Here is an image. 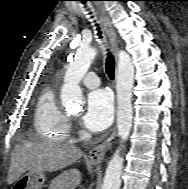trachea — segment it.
Listing matches in <instances>:
<instances>
[{
    "instance_id": "1",
    "label": "trachea",
    "mask_w": 188,
    "mask_h": 189,
    "mask_svg": "<svg viewBox=\"0 0 188 189\" xmlns=\"http://www.w3.org/2000/svg\"><path fill=\"white\" fill-rule=\"evenodd\" d=\"M82 3H86L87 0H80ZM97 30H98V36L99 38H102L100 28L98 27V24H96ZM106 73L109 76L110 79L114 78V72H115V61L113 56L110 52L107 54L106 63H105Z\"/></svg>"
}]
</instances>
